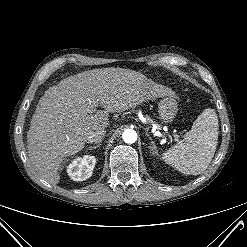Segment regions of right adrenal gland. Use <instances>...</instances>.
Returning <instances> with one entry per match:
<instances>
[{"mask_svg":"<svg viewBox=\"0 0 247 247\" xmlns=\"http://www.w3.org/2000/svg\"><path fill=\"white\" fill-rule=\"evenodd\" d=\"M100 146H101V144H98V145H96V146H89V147L87 148V150L97 149V148H100Z\"/></svg>","mask_w":247,"mask_h":247,"instance_id":"right-adrenal-gland-1","label":"right adrenal gland"}]
</instances>
